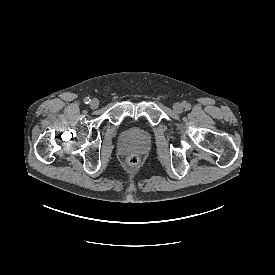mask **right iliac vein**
Here are the masks:
<instances>
[{
  "label": "right iliac vein",
  "mask_w": 275,
  "mask_h": 275,
  "mask_svg": "<svg viewBox=\"0 0 275 275\" xmlns=\"http://www.w3.org/2000/svg\"><path fill=\"white\" fill-rule=\"evenodd\" d=\"M98 106H99V101H98L97 99L91 100V102H90V107H91L92 109H96Z\"/></svg>",
  "instance_id": "obj_1"
}]
</instances>
